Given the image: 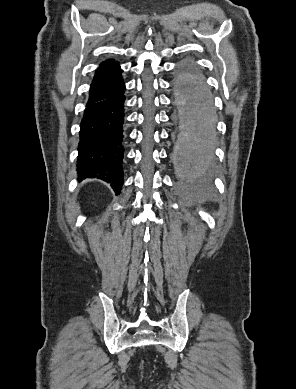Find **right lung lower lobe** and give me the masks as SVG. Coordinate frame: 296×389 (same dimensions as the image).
<instances>
[{
    "label": "right lung lower lobe",
    "instance_id": "right-lung-lower-lobe-1",
    "mask_svg": "<svg viewBox=\"0 0 296 389\" xmlns=\"http://www.w3.org/2000/svg\"><path fill=\"white\" fill-rule=\"evenodd\" d=\"M125 86L87 103L80 124L79 179L98 178L119 194L123 185Z\"/></svg>",
    "mask_w": 296,
    "mask_h": 389
}]
</instances>
